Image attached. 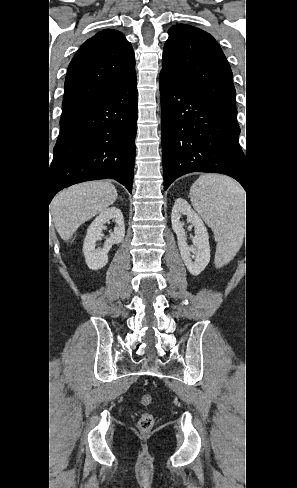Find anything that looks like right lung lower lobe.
I'll use <instances>...</instances> for the list:
<instances>
[{"label":"right lung lower lobe","instance_id":"1","mask_svg":"<svg viewBox=\"0 0 297 488\" xmlns=\"http://www.w3.org/2000/svg\"><path fill=\"white\" fill-rule=\"evenodd\" d=\"M136 76L106 96L60 119L50 166V201L65 187L115 179L131 193L137 130Z\"/></svg>","mask_w":297,"mask_h":488}]
</instances>
